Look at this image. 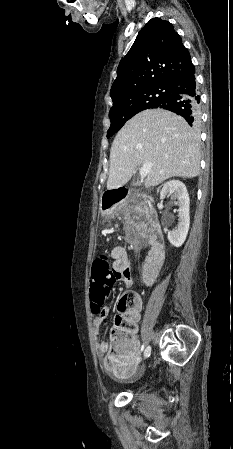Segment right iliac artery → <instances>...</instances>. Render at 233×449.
I'll return each mask as SVG.
<instances>
[{"label":"right iliac artery","instance_id":"82829eb1","mask_svg":"<svg viewBox=\"0 0 233 449\" xmlns=\"http://www.w3.org/2000/svg\"><path fill=\"white\" fill-rule=\"evenodd\" d=\"M143 349H144V345H142V347H141V350H143ZM150 353H151V347L149 346V347L146 348V350L144 352V357L145 358L149 357Z\"/></svg>","mask_w":233,"mask_h":449}]
</instances>
